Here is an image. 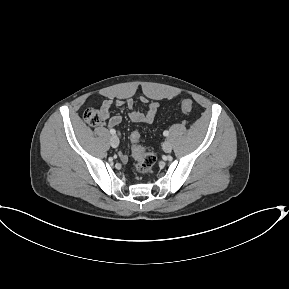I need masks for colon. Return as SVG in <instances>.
<instances>
[{"label":"colon","instance_id":"5ec220e1","mask_svg":"<svg viewBox=\"0 0 289 289\" xmlns=\"http://www.w3.org/2000/svg\"><path fill=\"white\" fill-rule=\"evenodd\" d=\"M193 102L191 99H184L181 102L180 110L184 113L189 112L192 109ZM84 120L91 126H97L103 123L105 120V114L96 108L89 107L83 113ZM140 136L137 132H133L130 136L132 143V151L136 159L135 168L141 175H148L152 173L155 163L156 155L153 152L146 151L139 144Z\"/></svg>","mask_w":289,"mask_h":289}]
</instances>
